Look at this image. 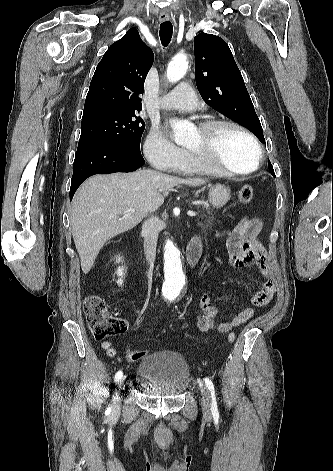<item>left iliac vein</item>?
Listing matches in <instances>:
<instances>
[{"label": "left iliac vein", "mask_w": 333, "mask_h": 471, "mask_svg": "<svg viewBox=\"0 0 333 471\" xmlns=\"http://www.w3.org/2000/svg\"><path fill=\"white\" fill-rule=\"evenodd\" d=\"M199 387L201 391V405L203 413L206 416H211V399H210V392L208 388L203 384V382H199Z\"/></svg>", "instance_id": "1"}]
</instances>
